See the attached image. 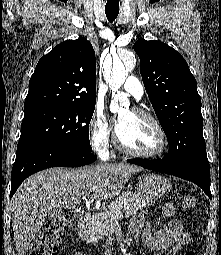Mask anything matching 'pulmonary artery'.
<instances>
[{
	"label": "pulmonary artery",
	"mask_w": 221,
	"mask_h": 255,
	"mask_svg": "<svg viewBox=\"0 0 221 255\" xmlns=\"http://www.w3.org/2000/svg\"><path fill=\"white\" fill-rule=\"evenodd\" d=\"M122 88L136 99H141L144 94L142 83L133 76L128 77L123 83Z\"/></svg>",
	"instance_id": "pulmonary-artery-1"
}]
</instances>
